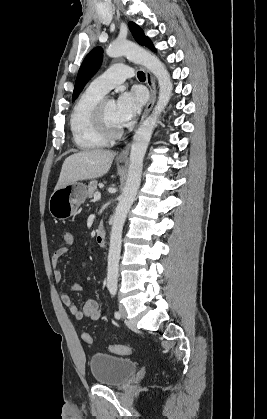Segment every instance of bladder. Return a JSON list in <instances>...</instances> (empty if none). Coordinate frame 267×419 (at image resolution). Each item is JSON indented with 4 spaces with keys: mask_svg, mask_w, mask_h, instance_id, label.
Masks as SVG:
<instances>
[{
    "mask_svg": "<svg viewBox=\"0 0 267 419\" xmlns=\"http://www.w3.org/2000/svg\"><path fill=\"white\" fill-rule=\"evenodd\" d=\"M89 368L97 384L117 387L123 385L136 372L137 363L107 353H95L89 359Z\"/></svg>",
    "mask_w": 267,
    "mask_h": 419,
    "instance_id": "bladder-1",
    "label": "bladder"
}]
</instances>
